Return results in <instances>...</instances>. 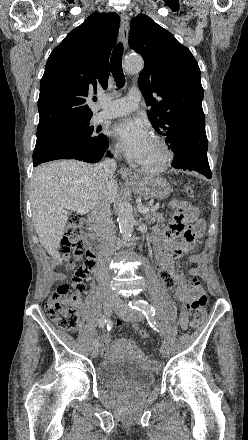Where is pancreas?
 Masks as SVG:
<instances>
[{
  "mask_svg": "<svg viewBox=\"0 0 248 440\" xmlns=\"http://www.w3.org/2000/svg\"><path fill=\"white\" fill-rule=\"evenodd\" d=\"M142 216H143V219L148 223H154L156 221H158V222L164 221L163 214L156 213L153 208H150L148 213H144V214H142Z\"/></svg>",
  "mask_w": 248,
  "mask_h": 440,
  "instance_id": "cf45deb5",
  "label": "pancreas"
}]
</instances>
